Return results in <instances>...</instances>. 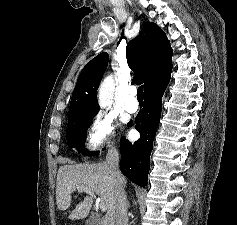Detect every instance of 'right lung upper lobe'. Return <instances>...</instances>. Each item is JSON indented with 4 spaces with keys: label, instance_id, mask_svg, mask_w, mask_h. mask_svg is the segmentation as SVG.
I'll return each mask as SVG.
<instances>
[{
    "label": "right lung upper lobe",
    "instance_id": "cb5924a9",
    "mask_svg": "<svg viewBox=\"0 0 237 225\" xmlns=\"http://www.w3.org/2000/svg\"><path fill=\"white\" fill-rule=\"evenodd\" d=\"M172 49L163 30L146 22L139 35L128 42L126 58L134 71L132 83H144V92L170 79ZM108 65V54L101 53L81 71L72 93L70 111L95 115L98 112L97 88Z\"/></svg>",
    "mask_w": 237,
    "mask_h": 225
}]
</instances>
